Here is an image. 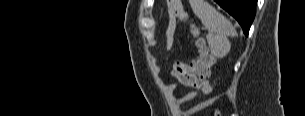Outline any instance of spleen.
I'll use <instances>...</instances> for the list:
<instances>
[{"label":"spleen","mask_w":305,"mask_h":116,"mask_svg":"<svg viewBox=\"0 0 305 116\" xmlns=\"http://www.w3.org/2000/svg\"><path fill=\"white\" fill-rule=\"evenodd\" d=\"M190 5L203 26L210 33L215 34V38L211 41V46L222 45L224 50L228 51L230 44L227 37L237 36V32L231 22L204 0H191Z\"/></svg>","instance_id":"3e777b00"}]
</instances>
